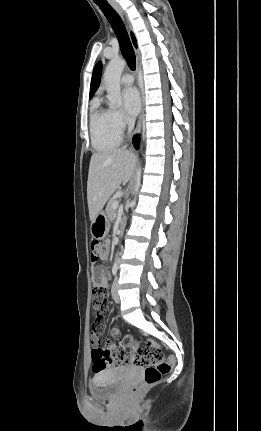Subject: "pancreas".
<instances>
[{
  "instance_id": "1",
  "label": "pancreas",
  "mask_w": 261,
  "mask_h": 431,
  "mask_svg": "<svg viewBox=\"0 0 261 431\" xmlns=\"http://www.w3.org/2000/svg\"><path fill=\"white\" fill-rule=\"evenodd\" d=\"M117 202V200L115 198H111L106 206V215L108 217L109 220H114V218L116 217V212L115 209L113 208V204Z\"/></svg>"
}]
</instances>
